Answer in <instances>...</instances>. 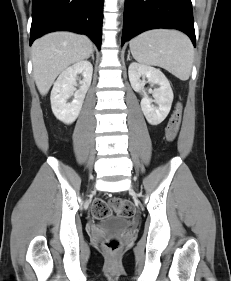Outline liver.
<instances>
[{"label": "liver", "mask_w": 231, "mask_h": 281, "mask_svg": "<svg viewBox=\"0 0 231 281\" xmlns=\"http://www.w3.org/2000/svg\"><path fill=\"white\" fill-rule=\"evenodd\" d=\"M91 40L71 32H55L32 45L33 74L41 95H46L56 77L68 66L90 57Z\"/></svg>", "instance_id": "obj_1"}]
</instances>
